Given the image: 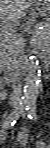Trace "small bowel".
Wrapping results in <instances>:
<instances>
[{"label":"small bowel","instance_id":"1","mask_svg":"<svg viewBox=\"0 0 50 148\" xmlns=\"http://www.w3.org/2000/svg\"><path fill=\"white\" fill-rule=\"evenodd\" d=\"M28 132L26 130H21L19 133H18V141L21 145H25L28 141ZM37 147L38 148H47L48 146L46 145V143L44 141H40L38 142L37 144Z\"/></svg>","mask_w":50,"mask_h":148}]
</instances>
